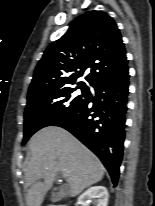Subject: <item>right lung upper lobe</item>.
I'll return each mask as SVG.
<instances>
[{
	"instance_id": "1",
	"label": "right lung upper lobe",
	"mask_w": 155,
	"mask_h": 206,
	"mask_svg": "<svg viewBox=\"0 0 155 206\" xmlns=\"http://www.w3.org/2000/svg\"><path fill=\"white\" fill-rule=\"evenodd\" d=\"M90 85L96 87L127 67L124 43L114 20L106 13L90 11L79 16L69 30L53 42L39 61L28 96L76 83L87 68ZM77 85H85L78 82Z\"/></svg>"
}]
</instances>
